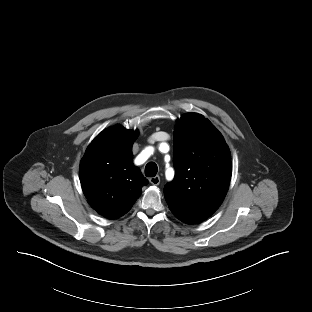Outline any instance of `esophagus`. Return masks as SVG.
<instances>
[{
    "label": "esophagus",
    "mask_w": 312,
    "mask_h": 312,
    "mask_svg": "<svg viewBox=\"0 0 312 312\" xmlns=\"http://www.w3.org/2000/svg\"><path fill=\"white\" fill-rule=\"evenodd\" d=\"M149 181L152 185H159L160 183V177L159 176H154L149 178Z\"/></svg>",
    "instance_id": "esophagus-1"
}]
</instances>
